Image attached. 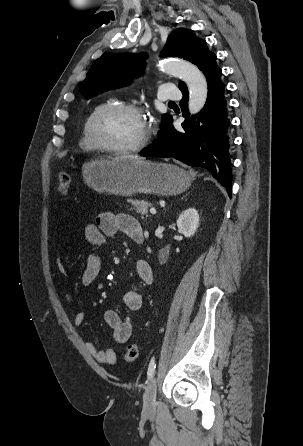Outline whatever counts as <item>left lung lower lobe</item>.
I'll use <instances>...</instances> for the list:
<instances>
[{"instance_id":"1","label":"left lung lower lobe","mask_w":303,"mask_h":446,"mask_svg":"<svg viewBox=\"0 0 303 446\" xmlns=\"http://www.w3.org/2000/svg\"><path fill=\"white\" fill-rule=\"evenodd\" d=\"M208 82V97L204 108L196 116L188 113L187 87L180 89L183 129L177 131L171 118L158 133V139L140 152L144 157H173L193 167H202L211 173L232 194L231 160L228 153L230 120L226 115L225 84L222 71L213 55L202 69Z\"/></svg>"}]
</instances>
